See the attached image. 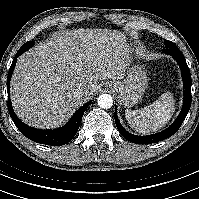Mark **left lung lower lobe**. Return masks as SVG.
<instances>
[{"label":"left lung lower lobe","mask_w":199,"mask_h":199,"mask_svg":"<svg viewBox=\"0 0 199 199\" xmlns=\"http://www.w3.org/2000/svg\"><path fill=\"white\" fill-rule=\"evenodd\" d=\"M163 53L171 55L174 59H176V61L178 62L180 66L182 78L184 82L183 107L180 114L178 115V117L176 118V120L173 122L171 126H169L167 129H165L164 131L160 133H157L154 135H147V136H137V135H133L127 132L120 124L117 117V111L115 108V123L118 128V131L125 139L136 144L155 143V142L164 140L172 136L180 128L191 106V74L187 66L185 57L183 56V54L181 53V51L178 49L177 46L172 47V48H167L166 50L163 51Z\"/></svg>","instance_id":"left-lung-lower-lobe-1"}]
</instances>
